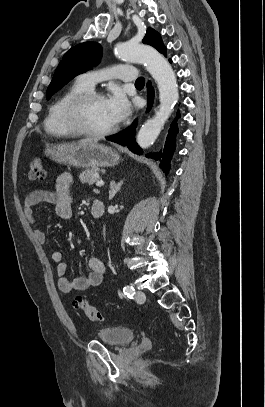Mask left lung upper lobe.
Wrapping results in <instances>:
<instances>
[{"label":"left lung upper lobe","instance_id":"left-lung-upper-lobe-1","mask_svg":"<svg viewBox=\"0 0 265 407\" xmlns=\"http://www.w3.org/2000/svg\"><path fill=\"white\" fill-rule=\"evenodd\" d=\"M144 44H149L156 48L160 53H165L166 48L163 46L160 34L154 29L149 28L145 37ZM102 56V48L96 42H85L78 44L68 50L60 61L53 79L48 86L46 98L60 90L76 75L86 72L99 63Z\"/></svg>","mask_w":265,"mask_h":407}]
</instances>
